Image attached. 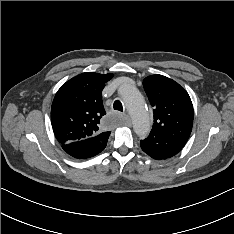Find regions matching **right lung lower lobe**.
I'll use <instances>...</instances> for the list:
<instances>
[{"label":"right lung lower lobe","mask_w":234,"mask_h":234,"mask_svg":"<svg viewBox=\"0 0 234 234\" xmlns=\"http://www.w3.org/2000/svg\"><path fill=\"white\" fill-rule=\"evenodd\" d=\"M107 140L108 137L96 136L63 144L62 148L65 150V152L75 158H90L100 153L106 147Z\"/></svg>","instance_id":"obj_1"}]
</instances>
